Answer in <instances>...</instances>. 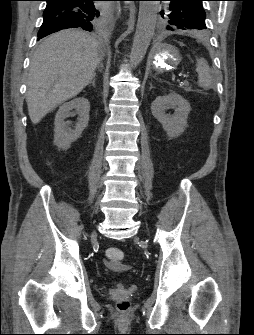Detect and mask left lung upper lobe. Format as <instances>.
<instances>
[{
    "label": "left lung upper lobe",
    "instance_id": "left-lung-upper-lobe-1",
    "mask_svg": "<svg viewBox=\"0 0 254 335\" xmlns=\"http://www.w3.org/2000/svg\"><path fill=\"white\" fill-rule=\"evenodd\" d=\"M167 7L161 11V16L168 20L167 29H206L204 0H165Z\"/></svg>",
    "mask_w": 254,
    "mask_h": 335
}]
</instances>
